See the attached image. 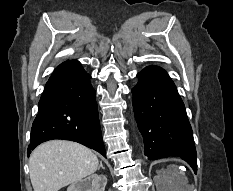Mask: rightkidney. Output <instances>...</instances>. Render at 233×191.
Listing matches in <instances>:
<instances>
[{"label":"right kidney","mask_w":233,"mask_h":191,"mask_svg":"<svg viewBox=\"0 0 233 191\" xmlns=\"http://www.w3.org/2000/svg\"><path fill=\"white\" fill-rule=\"evenodd\" d=\"M107 178L103 175L93 174L76 184L68 187L67 191H105Z\"/></svg>","instance_id":"right-kidney-1"}]
</instances>
